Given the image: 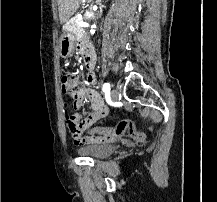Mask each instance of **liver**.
<instances>
[{
  "mask_svg": "<svg viewBox=\"0 0 217 202\" xmlns=\"http://www.w3.org/2000/svg\"><path fill=\"white\" fill-rule=\"evenodd\" d=\"M82 0H58L60 24L68 22L69 18L78 10Z\"/></svg>",
  "mask_w": 217,
  "mask_h": 202,
  "instance_id": "obj_1",
  "label": "liver"
}]
</instances>
